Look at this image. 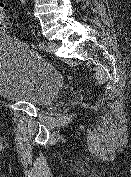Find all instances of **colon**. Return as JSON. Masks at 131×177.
Masks as SVG:
<instances>
[{
    "label": "colon",
    "instance_id": "1",
    "mask_svg": "<svg viewBox=\"0 0 131 177\" xmlns=\"http://www.w3.org/2000/svg\"><path fill=\"white\" fill-rule=\"evenodd\" d=\"M11 29L10 20L5 12V8L2 2H0V30L3 32H9Z\"/></svg>",
    "mask_w": 131,
    "mask_h": 177
}]
</instances>
